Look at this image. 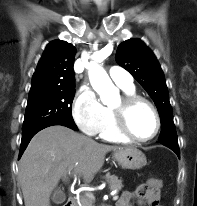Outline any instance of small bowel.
Returning a JSON list of instances; mask_svg holds the SVG:
<instances>
[{
  "mask_svg": "<svg viewBox=\"0 0 197 206\" xmlns=\"http://www.w3.org/2000/svg\"><path fill=\"white\" fill-rule=\"evenodd\" d=\"M159 188H151L149 185L141 187L138 191H126L118 201L117 206H130L133 199H137L140 206H160Z\"/></svg>",
  "mask_w": 197,
  "mask_h": 206,
  "instance_id": "small-bowel-1",
  "label": "small bowel"
}]
</instances>
